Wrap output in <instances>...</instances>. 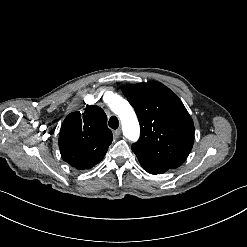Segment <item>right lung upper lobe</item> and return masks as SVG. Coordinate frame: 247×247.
<instances>
[{
	"mask_svg": "<svg viewBox=\"0 0 247 247\" xmlns=\"http://www.w3.org/2000/svg\"><path fill=\"white\" fill-rule=\"evenodd\" d=\"M112 139L106 114L92 105L82 114L73 112L65 118L59 134V148L64 161L85 170L104 158Z\"/></svg>",
	"mask_w": 247,
	"mask_h": 247,
	"instance_id": "1",
	"label": "right lung upper lobe"
}]
</instances>
